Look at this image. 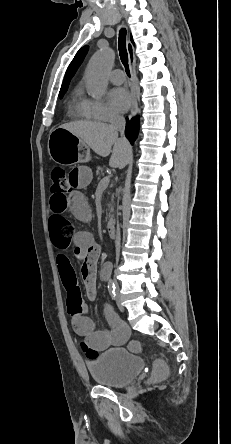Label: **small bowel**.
I'll return each instance as SVG.
<instances>
[{
	"label": "small bowel",
	"mask_w": 231,
	"mask_h": 444,
	"mask_svg": "<svg viewBox=\"0 0 231 444\" xmlns=\"http://www.w3.org/2000/svg\"><path fill=\"white\" fill-rule=\"evenodd\" d=\"M92 170L85 165L74 167L68 174V184L72 193L68 197H51V215L48 220L51 241L58 250L57 265L59 274L67 292V307L72 327L76 334L85 338L86 344L97 351L111 346L124 344L130 335L128 327L115 316L110 315L112 327L97 330L94 321L88 316V308L81 297L76 279V272L67 255L72 246L73 257L81 262L87 296L94 300L97 296L96 265L100 256V247L90 233L75 231L71 222L64 216L69 210L76 218L88 221L91 218V207L85 196L79 191L92 181ZM109 266L103 268L106 274Z\"/></svg>",
	"instance_id": "small-bowel-1"
}]
</instances>
